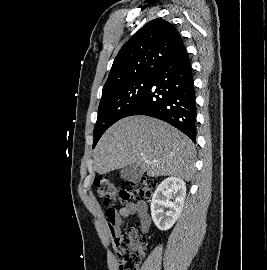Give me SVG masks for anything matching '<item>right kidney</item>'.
Listing matches in <instances>:
<instances>
[{
	"label": "right kidney",
	"instance_id": "obj_1",
	"mask_svg": "<svg viewBox=\"0 0 267 270\" xmlns=\"http://www.w3.org/2000/svg\"><path fill=\"white\" fill-rule=\"evenodd\" d=\"M185 196L186 185L181 178L168 177L158 185L152 197L151 216L159 230L166 231L174 225L182 212ZM164 208L169 210L165 212Z\"/></svg>",
	"mask_w": 267,
	"mask_h": 270
}]
</instances>
